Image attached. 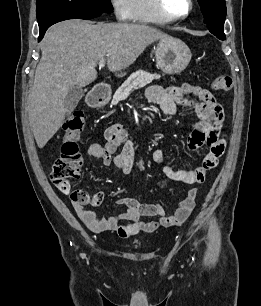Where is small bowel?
<instances>
[{"instance_id":"small-bowel-1","label":"small bowel","mask_w":261,"mask_h":306,"mask_svg":"<svg viewBox=\"0 0 261 306\" xmlns=\"http://www.w3.org/2000/svg\"><path fill=\"white\" fill-rule=\"evenodd\" d=\"M147 98L156 103L160 109L174 115L178 104L193 106L200 119L188 138V146L195 150L201 146L207 147L202 164L193 169L175 170L166 162L165 153L161 149L153 152V160L162 167L163 173L171 180L189 185L204 182L206 174L213 169L225 150L226 143L219 137L224 119L222 107L206 90L193 84L182 87L162 89L158 86L147 90ZM105 144L93 143L88 148V154L102 160L106 165L113 164L121 173L130 174L135 162V148L127 139L126 131L118 124H113L105 130ZM101 198L103 194L97 192ZM197 189L188 191L172 215H167L160 204H144L134 198H121L119 203L126 210L108 218L98 217L85 205L73 201L74 209L79 219L93 232L113 231L121 238H128L139 231L153 232L159 227L179 226L189 217L195 206ZM142 217H158V221H143ZM122 222H127L122 224Z\"/></svg>"}]
</instances>
